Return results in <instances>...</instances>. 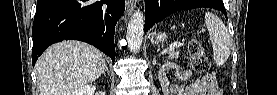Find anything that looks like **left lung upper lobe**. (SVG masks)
<instances>
[{
  "mask_svg": "<svg viewBox=\"0 0 277 95\" xmlns=\"http://www.w3.org/2000/svg\"><path fill=\"white\" fill-rule=\"evenodd\" d=\"M179 6L187 7V8H197L199 7V4L197 3V0H180Z\"/></svg>",
  "mask_w": 277,
  "mask_h": 95,
  "instance_id": "5c2ea615",
  "label": "left lung upper lobe"
}]
</instances>
